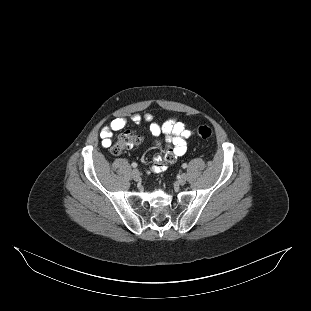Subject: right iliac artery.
Returning a JSON list of instances; mask_svg holds the SVG:
<instances>
[{"label":"right iliac artery","instance_id":"82829eb1","mask_svg":"<svg viewBox=\"0 0 311 311\" xmlns=\"http://www.w3.org/2000/svg\"><path fill=\"white\" fill-rule=\"evenodd\" d=\"M131 165H132L133 168L137 167V163H135V162H133Z\"/></svg>","mask_w":311,"mask_h":311}]
</instances>
